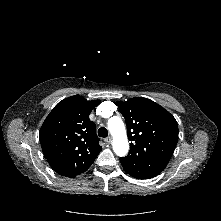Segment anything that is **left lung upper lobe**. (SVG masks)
I'll list each match as a JSON object with an SVG mask.
<instances>
[{"instance_id": "left-lung-upper-lobe-1", "label": "left lung upper lobe", "mask_w": 221, "mask_h": 221, "mask_svg": "<svg viewBox=\"0 0 221 221\" xmlns=\"http://www.w3.org/2000/svg\"><path fill=\"white\" fill-rule=\"evenodd\" d=\"M127 124L130 151L124 159L167 165L178 141L175 118L157 103L141 97L116 102Z\"/></svg>"}]
</instances>
